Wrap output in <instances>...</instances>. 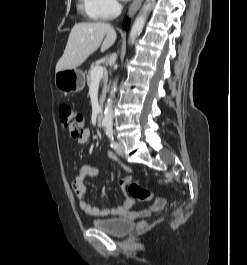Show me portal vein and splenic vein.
<instances>
[{"label": "portal vein and splenic vein", "mask_w": 247, "mask_h": 265, "mask_svg": "<svg viewBox=\"0 0 247 265\" xmlns=\"http://www.w3.org/2000/svg\"><path fill=\"white\" fill-rule=\"evenodd\" d=\"M104 69L101 66L95 67L91 72L92 80H99L103 75Z\"/></svg>", "instance_id": "obj_1"}]
</instances>
